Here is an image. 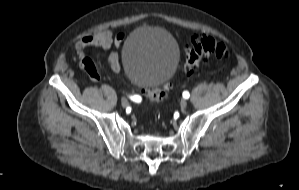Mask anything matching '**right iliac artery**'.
<instances>
[{"label": "right iliac artery", "mask_w": 299, "mask_h": 190, "mask_svg": "<svg viewBox=\"0 0 299 190\" xmlns=\"http://www.w3.org/2000/svg\"><path fill=\"white\" fill-rule=\"evenodd\" d=\"M130 99L135 102L141 101V97L139 95L130 96Z\"/></svg>", "instance_id": "82829eb1"}]
</instances>
